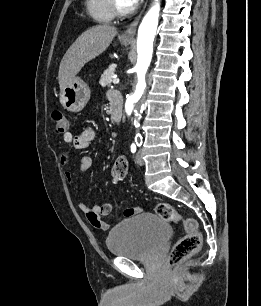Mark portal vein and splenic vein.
Here are the masks:
<instances>
[{"instance_id": "obj_1", "label": "portal vein and splenic vein", "mask_w": 261, "mask_h": 306, "mask_svg": "<svg viewBox=\"0 0 261 306\" xmlns=\"http://www.w3.org/2000/svg\"><path fill=\"white\" fill-rule=\"evenodd\" d=\"M118 83H119V79L118 78L113 79V84H118Z\"/></svg>"}]
</instances>
